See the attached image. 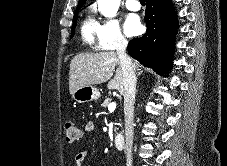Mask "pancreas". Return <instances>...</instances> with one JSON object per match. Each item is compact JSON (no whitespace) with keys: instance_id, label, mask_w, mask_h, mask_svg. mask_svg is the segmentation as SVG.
I'll list each match as a JSON object with an SVG mask.
<instances>
[{"instance_id":"1","label":"pancreas","mask_w":227,"mask_h":166,"mask_svg":"<svg viewBox=\"0 0 227 166\" xmlns=\"http://www.w3.org/2000/svg\"><path fill=\"white\" fill-rule=\"evenodd\" d=\"M110 102H111V99L110 98H106L105 101L102 104V107H104V108L108 107Z\"/></svg>"}]
</instances>
